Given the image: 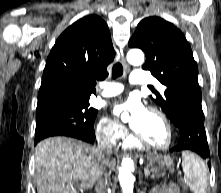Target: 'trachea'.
<instances>
[{"label": "trachea", "mask_w": 221, "mask_h": 193, "mask_svg": "<svg viewBox=\"0 0 221 193\" xmlns=\"http://www.w3.org/2000/svg\"><path fill=\"white\" fill-rule=\"evenodd\" d=\"M123 75V66L121 63H116L112 68V78L115 79L117 77H120ZM150 89H153L152 87H149Z\"/></svg>", "instance_id": "obj_1"}]
</instances>
